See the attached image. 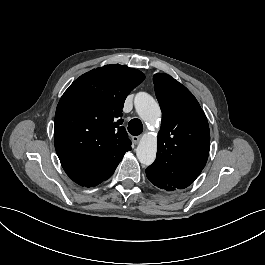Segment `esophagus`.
I'll return each mask as SVG.
<instances>
[{"label":"esophagus","mask_w":265,"mask_h":265,"mask_svg":"<svg viewBox=\"0 0 265 265\" xmlns=\"http://www.w3.org/2000/svg\"><path fill=\"white\" fill-rule=\"evenodd\" d=\"M139 140H140V137H139V136H133V137H132V141H133V143H134L135 145L138 144Z\"/></svg>","instance_id":"1"}]
</instances>
